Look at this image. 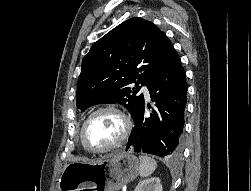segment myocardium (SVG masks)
<instances>
[{"instance_id": "1", "label": "myocardium", "mask_w": 251, "mask_h": 191, "mask_svg": "<svg viewBox=\"0 0 251 191\" xmlns=\"http://www.w3.org/2000/svg\"><path fill=\"white\" fill-rule=\"evenodd\" d=\"M104 111L113 112L120 119V121L122 123V132H121L120 138L114 144H112L110 147H108L104 150H101V151H93L85 145L84 138H83L84 130H85L87 123L94 115H96L97 113H100V112H104ZM130 129H131L130 120L120 109H118L112 105L100 106V107L94 109L93 111H91L85 117V119L80 127L79 134H78L79 147L83 152H85L86 154H89V155L100 156L103 154H107V153L119 148L120 146H122L124 144V142L126 141L128 135H129Z\"/></svg>"}]
</instances>
